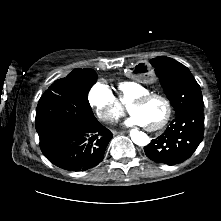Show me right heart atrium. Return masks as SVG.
Returning a JSON list of instances; mask_svg holds the SVG:
<instances>
[{
  "label": "right heart atrium",
  "mask_w": 221,
  "mask_h": 221,
  "mask_svg": "<svg viewBox=\"0 0 221 221\" xmlns=\"http://www.w3.org/2000/svg\"><path fill=\"white\" fill-rule=\"evenodd\" d=\"M88 101L104 123L111 124L124 113L122 103L106 83H95L89 91Z\"/></svg>",
  "instance_id": "right-heart-atrium-1"
}]
</instances>
